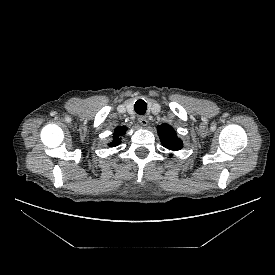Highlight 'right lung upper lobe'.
Masks as SVG:
<instances>
[{
  "label": "right lung upper lobe",
  "mask_w": 275,
  "mask_h": 275,
  "mask_svg": "<svg viewBox=\"0 0 275 275\" xmlns=\"http://www.w3.org/2000/svg\"><path fill=\"white\" fill-rule=\"evenodd\" d=\"M126 129H127L126 127H117L115 129V132H114V142L111 143L112 146L119 145V143L121 142L119 136L124 135L125 132H126Z\"/></svg>",
  "instance_id": "right-lung-upper-lobe-1"
}]
</instances>
